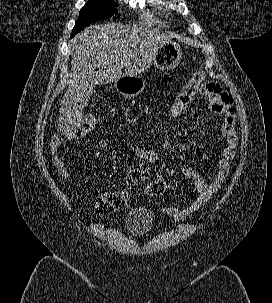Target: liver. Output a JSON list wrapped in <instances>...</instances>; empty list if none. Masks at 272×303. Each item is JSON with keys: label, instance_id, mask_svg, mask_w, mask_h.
<instances>
[{"label": "liver", "instance_id": "obj_1", "mask_svg": "<svg viewBox=\"0 0 272 303\" xmlns=\"http://www.w3.org/2000/svg\"><path fill=\"white\" fill-rule=\"evenodd\" d=\"M171 39L157 30L121 23L94 24L76 35L72 39L71 78L60 107V132H78L81 113L96 85L141 74Z\"/></svg>", "mask_w": 272, "mask_h": 303}]
</instances>
